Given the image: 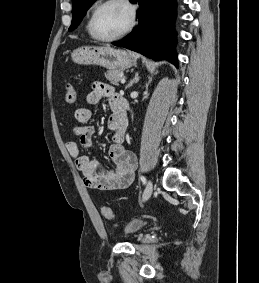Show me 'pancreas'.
Listing matches in <instances>:
<instances>
[{
    "mask_svg": "<svg viewBox=\"0 0 259 283\" xmlns=\"http://www.w3.org/2000/svg\"><path fill=\"white\" fill-rule=\"evenodd\" d=\"M105 77L107 80L110 81L113 85H118V82L121 80L123 77V70L118 69V70H110L105 73Z\"/></svg>",
    "mask_w": 259,
    "mask_h": 283,
    "instance_id": "cf45deb5",
    "label": "pancreas"
}]
</instances>
